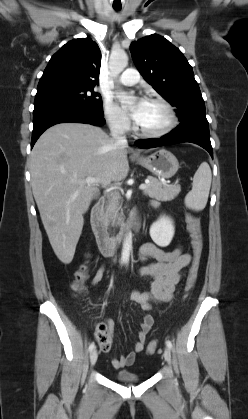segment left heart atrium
I'll return each mask as SVG.
<instances>
[{
  "label": "left heart atrium",
  "instance_id": "1",
  "mask_svg": "<svg viewBox=\"0 0 248 419\" xmlns=\"http://www.w3.org/2000/svg\"><path fill=\"white\" fill-rule=\"evenodd\" d=\"M147 100L141 98L137 101L133 111L131 112V116L137 122L141 119L144 108L146 106Z\"/></svg>",
  "mask_w": 248,
  "mask_h": 419
}]
</instances>
